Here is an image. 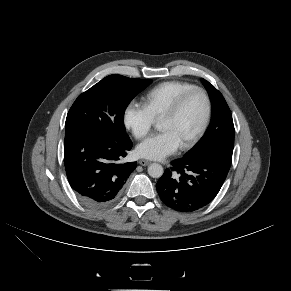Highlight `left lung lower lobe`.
<instances>
[{"label":"left lung lower lobe","instance_id":"1","mask_svg":"<svg viewBox=\"0 0 291 291\" xmlns=\"http://www.w3.org/2000/svg\"><path fill=\"white\" fill-rule=\"evenodd\" d=\"M231 162L232 152L223 149L174 160L157 182V192L163 203L176 211H196L216 197Z\"/></svg>","mask_w":291,"mask_h":291}]
</instances>
